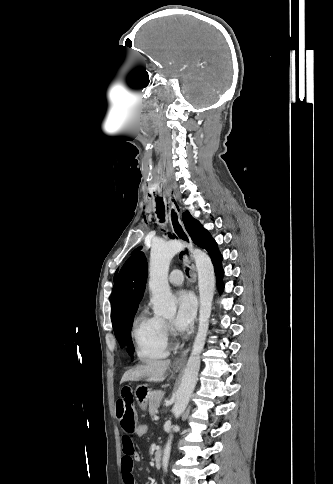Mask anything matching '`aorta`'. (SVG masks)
I'll use <instances>...</instances> for the list:
<instances>
[{
	"label": "aorta",
	"instance_id": "obj_1",
	"mask_svg": "<svg viewBox=\"0 0 333 484\" xmlns=\"http://www.w3.org/2000/svg\"><path fill=\"white\" fill-rule=\"evenodd\" d=\"M184 244L178 240H170L154 245L150 255L149 267V289L152 294V304L154 313L161 316H174L177 306L176 299L172 295L169 283L168 272L172 258L184 249ZM190 252L195 259L198 272L199 286V326L196 338L193 343L191 354L186 363L184 375L180 387L176 394V401L173 406V413L179 418L185 411L191 394L195 388L198 379V372L201 364V353L203 351L205 340L209 328V318L212 310V302L215 292V275L214 267L210 257L206 252L190 248ZM177 426L173 428V431ZM173 435L171 434L163 451L162 466L164 472H167L171 444Z\"/></svg>",
	"mask_w": 333,
	"mask_h": 484
}]
</instances>
